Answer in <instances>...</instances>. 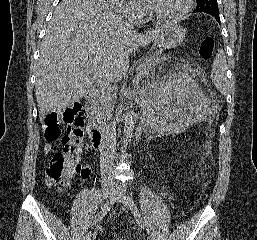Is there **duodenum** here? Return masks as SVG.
I'll list each match as a JSON object with an SVG mask.
<instances>
[{
  "mask_svg": "<svg viewBox=\"0 0 257 240\" xmlns=\"http://www.w3.org/2000/svg\"><path fill=\"white\" fill-rule=\"evenodd\" d=\"M85 99L88 104H91L95 99L94 90H88L85 94ZM119 119L120 116H117L112 121H108L102 125H98L93 120L92 115H90L88 123V133L94 148L103 149L112 145L116 136V125Z\"/></svg>",
  "mask_w": 257,
  "mask_h": 240,
  "instance_id": "410a0bca",
  "label": "duodenum"
}]
</instances>
